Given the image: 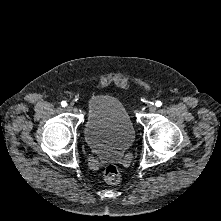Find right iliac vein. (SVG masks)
Here are the masks:
<instances>
[{
	"instance_id": "obj_1",
	"label": "right iliac vein",
	"mask_w": 221,
	"mask_h": 221,
	"mask_svg": "<svg viewBox=\"0 0 221 221\" xmlns=\"http://www.w3.org/2000/svg\"><path fill=\"white\" fill-rule=\"evenodd\" d=\"M66 109H67V111L71 112V111L73 110V107H72L71 105H68V106L66 107Z\"/></svg>"
}]
</instances>
